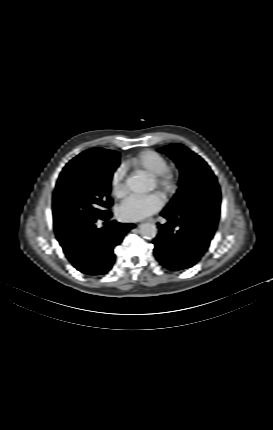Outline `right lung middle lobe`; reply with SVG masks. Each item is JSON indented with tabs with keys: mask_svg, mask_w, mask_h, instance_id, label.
I'll list each match as a JSON object with an SVG mask.
<instances>
[{
	"mask_svg": "<svg viewBox=\"0 0 273 430\" xmlns=\"http://www.w3.org/2000/svg\"><path fill=\"white\" fill-rule=\"evenodd\" d=\"M114 157L81 153L63 169L53 194L56 237L61 239L109 215L111 178L119 166Z\"/></svg>",
	"mask_w": 273,
	"mask_h": 430,
	"instance_id": "dd1d6c3e",
	"label": "right lung middle lobe"
}]
</instances>
